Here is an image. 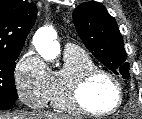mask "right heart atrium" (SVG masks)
Here are the masks:
<instances>
[{
	"label": "right heart atrium",
	"mask_w": 142,
	"mask_h": 119,
	"mask_svg": "<svg viewBox=\"0 0 142 119\" xmlns=\"http://www.w3.org/2000/svg\"><path fill=\"white\" fill-rule=\"evenodd\" d=\"M51 72L38 53L26 51L16 64L14 85L20 100L34 108L43 107L49 98Z\"/></svg>",
	"instance_id": "d8ad5b80"
}]
</instances>
